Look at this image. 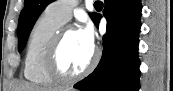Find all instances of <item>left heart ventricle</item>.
<instances>
[{
    "instance_id": "obj_1",
    "label": "left heart ventricle",
    "mask_w": 173,
    "mask_h": 91,
    "mask_svg": "<svg viewBox=\"0 0 173 91\" xmlns=\"http://www.w3.org/2000/svg\"><path fill=\"white\" fill-rule=\"evenodd\" d=\"M92 54L93 48L82 41L77 31L69 32L60 48V68L69 74L79 73L89 64Z\"/></svg>"
}]
</instances>
